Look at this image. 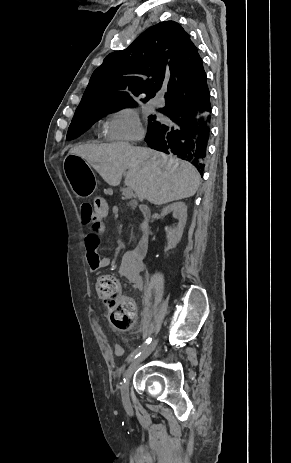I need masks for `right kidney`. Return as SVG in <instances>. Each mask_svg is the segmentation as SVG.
Listing matches in <instances>:
<instances>
[{
    "mask_svg": "<svg viewBox=\"0 0 291 463\" xmlns=\"http://www.w3.org/2000/svg\"><path fill=\"white\" fill-rule=\"evenodd\" d=\"M173 212L175 216H178L179 222L177 226L170 228L167 231L168 248H175L176 245L182 238L183 230L187 221V206L183 202H176L163 208L161 216Z\"/></svg>",
    "mask_w": 291,
    "mask_h": 463,
    "instance_id": "ca27d5eb",
    "label": "right kidney"
}]
</instances>
